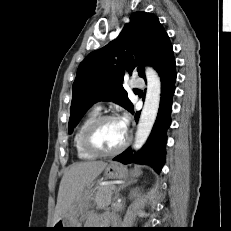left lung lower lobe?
Instances as JSON below:
<instances>
[{
  "label": "left lung lower lobe",
  "mask_w": 231,
  "mask_h": 231,
  "mask_svg": "<svg viewBox=\"0 0 231 231\" xmlns=\"http://www.w3.org/2000/svg\"><path fill=\"white\" fill-rule=\"evenodd\" d=\"M151 65L159 72L162 82L160 106L152 132L146 144L139 152L133 155L132 150L128 148L113 160L123 164L137 163L150 165L159 173L164 164L166 129L171 123L170 113L176 81L175 58L169 37L163 42ZM139 115V112L136 113V120H138Z\"/></svg>",
  "instance_id": "1"
}]
</instances>
